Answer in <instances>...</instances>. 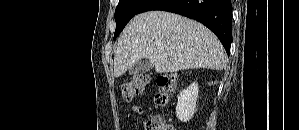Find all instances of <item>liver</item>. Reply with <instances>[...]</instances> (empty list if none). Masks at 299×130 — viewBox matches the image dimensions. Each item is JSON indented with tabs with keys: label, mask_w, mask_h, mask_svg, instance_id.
I'll list each match as a JSON object with an SVG mask.
<instances>
[{
	"label": "liver",
	"mask_w": 299,
	"mask_h": 130,
	"mask_svg": "<svg viewBox=\"0 0 299 130\" xmlns=\"http://www.w3.org/2000/svg\"><path fill=\"white\" fill-rule=\"evenodd\" d=\"M148 59L157 73L185 69L222 70L227 55L219 39L204 25L165 11L136 15L117 42L114 76L123 75L136 61Z\"/></svg>",
	"instance_id": "6515ba94"
}]
</instances>
